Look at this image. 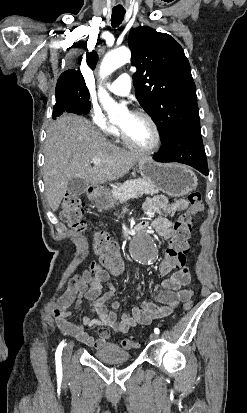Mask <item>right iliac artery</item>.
<instances>
[{"label":"right iliac artery","mask_w":247,"mask_h":413,"mask_svg":"<svg viewBox=\"0 0 247 413\" xmlns=\"http://www.w3.org/2000/svg\"><path fill=\"white\" fill-rule=\"evenodd\" d=\"M64 340L58 345L56 353H55V360H56V374L58 378L62 377V363H61V355L62 350L64 347Z\"/></svg>","instance_id":"1"}]
</instances>
